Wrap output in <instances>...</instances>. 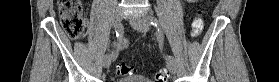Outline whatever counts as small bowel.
I'll return each instance as SVG.
<instances>
[{
  "label": "small bowel",
  "mask_w": 279,
  "mask_h": 82,
  "mask_svg": "<svg viewBox=\"0 0 279 82\" xmlns=\"http://www.w3.org/2000/svg\"><path fill=\"white\" fill-rule=\"evenodd\" d=\"M129 47V41L126 38H122L116 41L112 46V57L117 59L121 51Z\"/></svg>",
  "instance_id": "1"
}]
</instances>
